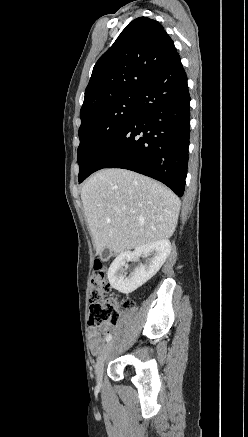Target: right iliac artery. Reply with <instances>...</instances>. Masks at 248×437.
Instances as JSON below:
<instances>
[{"instance_id": "obj_1", "label": "right iliac artery", "mask_w": 248, "mask_h": 437, "mask_svg": "<svg viewBox=\"0 0 248 437\" xmlns=\"http://www.w3.org/2000/svg\"><path fill=\"white\" fill-rule=\"evenodd\" d=\"M111 339H112V335H111V334H109V335L106 336V341H107V342H109Z\"/></svg>"}]
</instances>
